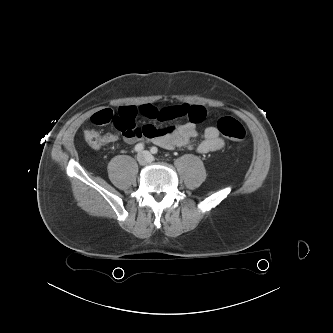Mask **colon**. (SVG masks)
Returning a JSON list of instances; mask_svg holds the SVG:
<instances>
[{"label":"colon","mask_w":333,"mask_h":333,"mask_svg":"<svg viewBox=\"0 0 333 333\" xmlns=\"http://www.w3.org/2000/svg\"><path fill=\"white\" fill-rule=\"evenodd\" d=\"M137 111L134 107L121 108L118 112L111 109L101 110L92 117V122L96 125H113L120 131L133 129ZM218 131L226 138L242 142L246 138L244 126L235 118L224 116L217 122ZM85 141L93 149H99L107 144L106 134H102L96 129H87L84 133Z\"/></svg>","instance_id":"5ec220e1"}]
</instances>
